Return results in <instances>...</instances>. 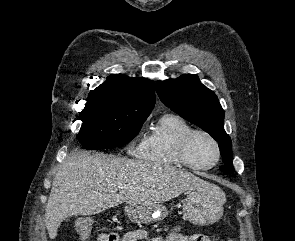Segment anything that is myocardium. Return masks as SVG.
<instances>
[{
  "label": "myocardium",
  "instance_id": "obj_1",
  "mask_svg": "<svg viewBox=\"0 0 295 241\" xmlns=\"http://www.w3.org/2000/svg\"><path fill=\"white\" fill-rule=\"evenodd\" d=\"M196 135H204L207 137L215 146L216 149V159L215 161L208 166H200L195 163H193L188 155V148L190 145V142ZM177 155L179 159L181 160L182 164H184L186 167L193 169V170H210L214 168L220 161L221 159V147L218 142V140L208 131L203 130V129H191L188 131L179 141L178 146H177Z\"/></svg>",
  "mask_w": 295,
  "mask_h": 241
}]
</instances>
